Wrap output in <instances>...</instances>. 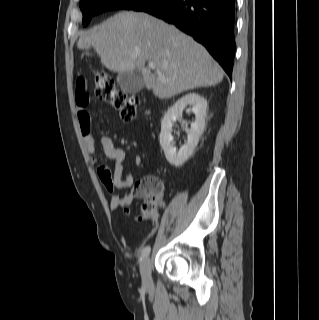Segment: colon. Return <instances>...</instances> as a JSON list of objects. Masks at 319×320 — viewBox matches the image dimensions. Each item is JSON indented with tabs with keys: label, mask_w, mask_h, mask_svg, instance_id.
Wrapping results in <instances>:
<instances>
[{
	"label": "colon",
	"mask_w": 319,
	"mask_h": 320,
	"mask_svg": "<svg viewBox=\"0 0 319 320\" xmlns=\"http://www.w3.org/2000/svg\"><path fill=\"white\" fill-rule=\"evenodd\" d=\"M96 96L115 107L124 122H134L137 120V107L140 99L137 96H128L127 93L119 90L113 78L106 72L97 71L94 73ZM84 83L83 79L78 80V85ZM108 173L102 170L101 178L104 179ZM135 191L139 196H147V201L142 205V217L146 220H157L156 195L161 191V185L154 177H147L140 180Z\"/></svg>",
	"instance_id": "5ec220e1"
}]
</instances>
